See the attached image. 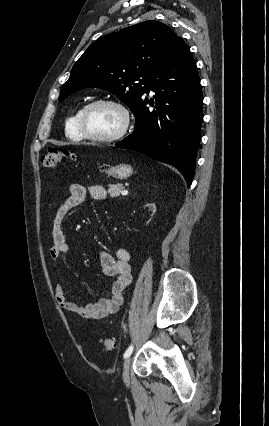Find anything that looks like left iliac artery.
Here are the masks:
<instances>
[{
  "instance_id": "left-iliac-artery-1",
  "label": "left iliac artery",
  "mask_w": 269,
  "mask_h": 426,
  "mask_svg": "<svg viewBox=\"0 0 269 426\" xmlns=\"http://www.w3.org/2000/svg\"><path fill=\"white\" fill-rule=\"evenodd\" d=\"M124 328H125V326H124ZM132 351H133V345H130L124 353V358L129 357L131 355Z\"/></svg>"
}]
</instances>
